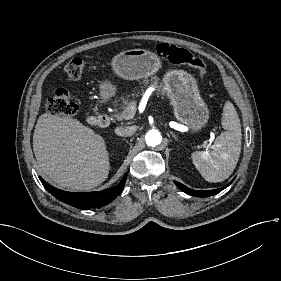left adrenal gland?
Masks as SVG:
<instances>
[{"instance_id": "left-adrenal-gland-1", "label": "left adrenal gland", "mask_w": 281, "mask_h": 281, "mask_svg": "<svg viewBox=\"0 0 281 281\" xmlns=\"http://www.w3.org/2000/svg\"><path fill=\"white\" fill-rule=\"evenodd\" d=\"M170 134L173 136L175 140H178L177 136L171 131Z\"/></svg>"}]
</instances>
